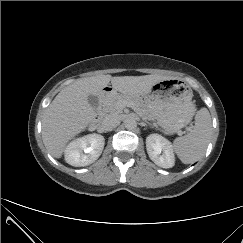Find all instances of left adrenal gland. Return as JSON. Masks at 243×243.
I'll list each match as a JSON object with an SVG mask.
<instances>
[{
    "label": "left adrenal gland",
    "mask_w": 243,
    "mask_h": 243,
    "mask_svg": "<svg viewBox=\"0 0 243 243\" xmlns=\"http://www.w3.org/2000/svg\"><path fill=\"white\" fill-rule=\"evenodd\" d=\"M145 124H148L149 126H151V127H152V124H150V123H148V122H146Z\"/></svg>",
    "instance_id": "1"
}]
</instances>
